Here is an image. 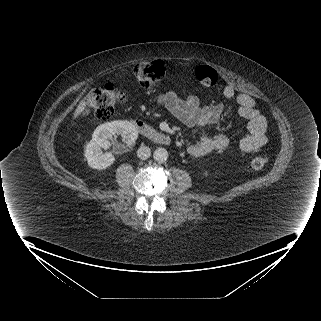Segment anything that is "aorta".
<instances>
[{"mask_svg": "<svg viewBox=\"0 0 321 321\" xmlns=\"http://www.w3.org/2000/svg\"><path fill=\"white\" fill-rule=\"evenodd\" d=\"M153 157L158 162H164L168 158V152L165 148L159 147L154 151Z\"/></svg>", "mask_w": 321, "mask_h": 321, "instance_id": "1", "label": "aorta"}]
</instances>
